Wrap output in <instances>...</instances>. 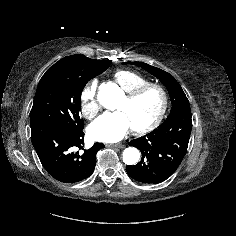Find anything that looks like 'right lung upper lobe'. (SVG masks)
<instances>
[{"label":"right lung upper lobe","instance_id":"1","mask_svg":"<svg viewBox=\"0 0 236 236\" xmlns=\"http://www.w3.org/2000/svg\"><path fill=\"white\" fill-rule=\"evenodd\" d=\"M103 61L104 60L90 59L83 55H71L61 59L48 70H59L68 73L87 72L98 66Z\"/></svg>","mask_w":236,"mask_h":236}]
</instances>
